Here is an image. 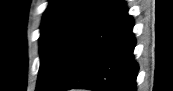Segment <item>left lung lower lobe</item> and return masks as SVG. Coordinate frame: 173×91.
Wrapping results in <instances>:
<instances>
[{
	"instance_id": "1",
	"label": "left lung lower lobe",
	"mask_w": 173,
	"mask_h": 91,
	"mask_svg": "<svg viewBox=\"0 0 173 91\" xmlns=\"http://www.w3.org/2000/svg\"><path fill=\"white\" fill-rule=\"evenodd\" d=\"M133 26L125 2L116 0L80 43L51 91H135L139 65L133 55Z\"/></svg>"
}]
</instances>
